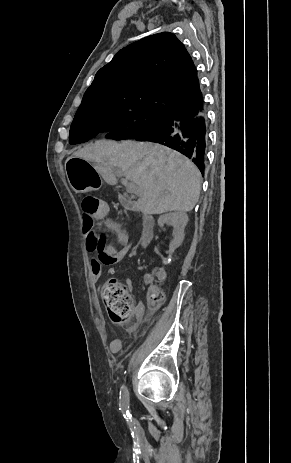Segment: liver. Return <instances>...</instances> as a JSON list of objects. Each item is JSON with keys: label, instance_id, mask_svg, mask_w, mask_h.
<instances>
[{"label": "liver", "instance_id": "6515ba94", "mask_svg": "<svg viewBox=\"0 0 291 463\" xmlns=\"http://www.w3.org/2000/svg\"><path fill=\"white\" fill-rule=\"evenodd\" d=\"M71 158L93 163L109 185L116 168L139 190L138 209L148 215L190 212L198 202L201 173L180 153L151 142L99 140L74 152Z\"/></svg>", "mask_w": 291, "mask_h": 463}]
</instances>
